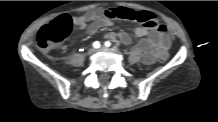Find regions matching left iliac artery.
Masks as SVG:
<instances>
[{"label":"left iliac artery","instance_id":"1","mask_svg":"<svg viewBox=\"0 0 218 122\" xmlns=\"http://www.w3.org/2000/svg\"><path fill=\"white\" fill-rule=\"evenodd\" d=\"M105 46H106V47H110V46H111L110 41H106V42H105Z\"/></svg>","mask_w":218,"mask_h":122}]
</instances>
